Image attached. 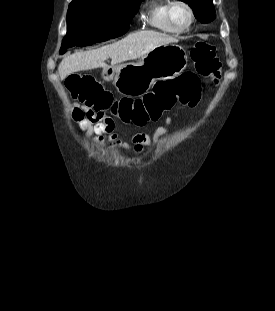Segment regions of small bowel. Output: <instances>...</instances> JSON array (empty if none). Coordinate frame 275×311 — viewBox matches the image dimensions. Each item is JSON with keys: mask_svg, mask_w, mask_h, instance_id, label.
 <instances>
[{"mask_svg": "<svg viewBox=\"0 0 275 311\" xmlns=\"http://www.w3.org/2000/svg\"><path fill=\"white\" fill-rule=\"evenodd\" d=\"M219 78V75L214 77V83H217ZM72 114L74 119L85 128L86 134L92 137L96 144H103L107 136L109 147L112 150L133 148L135 151L141 152L144 147L153 146L157 144L162 137L166 136L172 124V118L168 116L165 118L164 124L159 126L153 133H138L133 136L131 143H127L117 137L113 132V120L105 117L103 113L96 112L87 106L80 107L75 105Z\"/></svg>", "mask_w": 275, "mask_h": 311, "instance_id": "c3829d8e", "label": "small bowel"}]
</instances>
